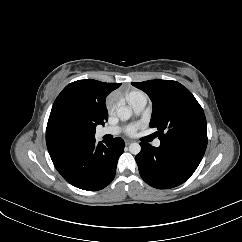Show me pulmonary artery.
Instances as JSON below:
<instances>
[{"mask_svg": "<svg viewBox=\"0 0 242 242\" xmlns=\"http://www.w3.org/2000/svg\"><path fill=\"white\" fill-rule=\"evenodd\" d=\"M146 104H147V97L144 94H140L130 101L132 110L136 115H139L144 111ZM121 131H122L121 127H105L101 129L98 134L100 136L118 135L119 133H121ZM160 144H161V141L159 139L154 141L155 147H159Z\"/></svg>", "mask_w": 242, "mask_h": 242, "instance_id": "obj_1", "label": "pulmonary artery"}]
</instances>
